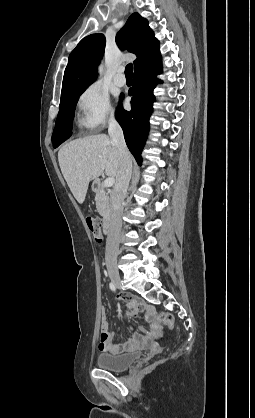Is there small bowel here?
Segmentation results:
<instances>
[{
	"label": "small bowel",
	"instance_id": "obj_1",
	"mask_svg": "<svg viewBox=\"0 0 255 418\" xmlns=\"http://www.w3.org/2000/svg\"><path fill=\"white\" fill-rule=\"evenodd\" d=\"M139 312H143L145 320H150L152 308L145 305L137 299H130L127 302V312L124 314L126 318L136 316ZM150 335L142 330V333H133L128 342L124 344L113 343L114 334L109 331L108 318L103 312L101 317V331L99 337V348L103 352L110 354H121L123 352L139 348L147 343Z\"/></svg>",
	"mask_w": 255,
	"mask_h": 418
}]
</instances>
